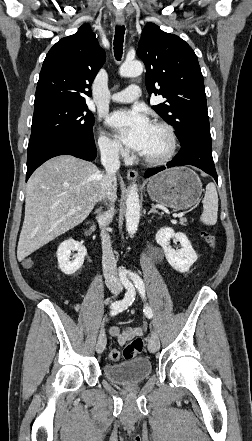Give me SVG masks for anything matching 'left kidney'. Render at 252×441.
Here are the masks:
<instances>
[{
	"mask_svg": "<svg viewBox=\"0 0 252 441\" xmlns=\"http://www.w3.org/2000/svg\"><path fill=\"white\" fill-rule=\"evenodd\" d=\"M175 238L180 242L182 248L174 250L169 246L170 239ZM156 242L162 247L168 263L177 271L188 272L190 267L196 262L197 255L192 248L187 236L182 232H177L172 228H161L156 233Z\"/></svg>",
	"mask_w": 252,
	"mask_h": 441,
	"instance_id": "1",
	"label": "left kidney"
}]
</instances>
